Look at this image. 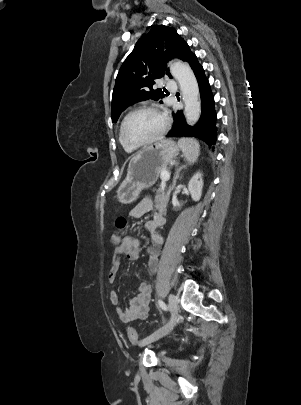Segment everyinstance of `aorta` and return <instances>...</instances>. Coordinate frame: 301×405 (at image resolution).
I'll list each match as a JSON object with an SVG mask.
<instances>
[{
    "label": "aorta",
    "mask_w": 301,
    "mask_h": 405,
    "mask_svg": "<svg viewBox=\"0 0 301 405\" xmlns=\"http://www.w3.org/2000/svg\"><path fill=\"white\" fill-rule=\"evenodd\" d=\"M170 72L180 85L185 103V118L190 125H194L201 114L199 86L196 77L190 66L182 61L171 63Z\"/></svg>",
    "instance_id": "aorta-1"
}]
</instances>
